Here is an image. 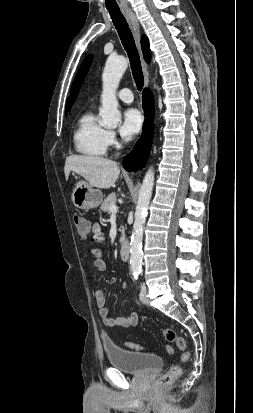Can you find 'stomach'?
Here are the masks:
<instances>
[{
	"label": "stomach",
	"instance_id": "obj_1",
	"mask_svg": "<svg viewBox=\"0 0 253 413\" xmlns=\"http://www.w3.org/2000/svg\"><path fill=\"white\" fill-rule=\"evenodd\" d=\"M71 198L77 208L91 209L102 203L103 194L100 190L93 189L86 181L81 180L76 183Z\"/></svg>",
	"mask_w": 253,
	"mask_h": 413
}]
</instances>
